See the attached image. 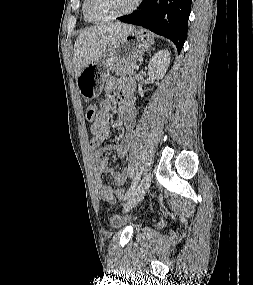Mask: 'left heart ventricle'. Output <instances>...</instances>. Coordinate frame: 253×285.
<instances>
[{"instance_id":"1","label":"left heart ventricle","mask_w":253,"mask_h":285,"mask_svg":"<svg viewBox=\"0 0 253 285\" xmlns=\"http://www.w3.org/2000/svg\"><path fill=\"white\" fill-rule=\"evenodd\" d=\"M134 0H91L90 8L99 17L111 16L128 9Z\"/></svg>"}]
</instances>
